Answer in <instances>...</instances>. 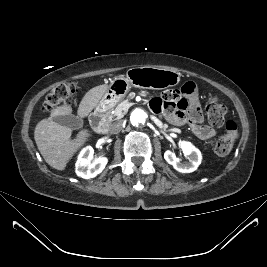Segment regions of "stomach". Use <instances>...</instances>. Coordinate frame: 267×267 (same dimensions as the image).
<instances>
[{
  "label": "stomach",
  "mask_w": 267,
  "mask_h": 267,
  "mask_svg": "<svg viewBox=\"0 0 267 267\" xmlns=\"http://www.w3.org/2000/svg\"><path fill=\"white\" fill-rule=\"evenodd\" d=\"M180 79L181 74L173 70L148 66L130 68L126 75L117 76L111 81L95 111L103 113L112 109L132 87L160 90L176 86Z\"/></svg>",
  "instance_id": "obj_1"
}]
</instances>
